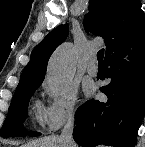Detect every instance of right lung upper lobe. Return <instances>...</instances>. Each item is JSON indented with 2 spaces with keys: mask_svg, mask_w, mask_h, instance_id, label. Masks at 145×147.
<instances>
[{
  "mask_svg": "<svg viewBox=\"0 0 145 147\" xmlns=\"http://www.w3.org/2000/svg\"><path fill=\"white\" fill-rule=\"evenodd\" d=\"M140 0H89V13L85 15L86 31L104 38L105 58L127 37L145 25ZM68 35V25L52 30L32 51L24 68L18 89L40 86L44 80L50 55Z\"/></svg>",
  "mask_w": 145,
  "mask_h": 147,
  "instance_id": "obj_1",
  "label": "right lung upper lobe"
}]
</instances>
